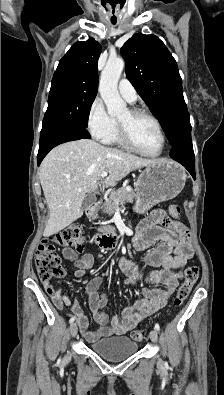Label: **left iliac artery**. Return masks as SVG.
I'll use <instances>...</instances> for the list:
<instances>
[{
	"mask_svg": "<svg viewBox=\"0 0 224 395\" xmlns=\"http://www.w3.org/2000/svg\"><path fill=\"white\" fill-rule=\"evenodd\" d=\"M154 328L155 330L160 331V325L158 323L155 324Z\"/></svg>",
	"mask_w": 224,
	"mask_h": 395,
	"instance_id": "obj_1",
	"label": "left iliac artery"
}]
</instances>
